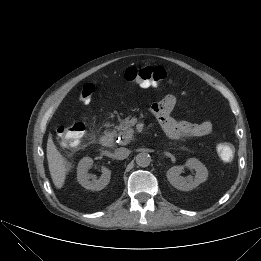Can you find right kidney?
Masks as SVG:
<instances>
[{"mask_svg":"<svg viewBox=\"0 0 261 261\" xmlns=\"http://www.w3.org/2000/svg\"><path fill=\"white\" fill-rule=\"evenodd\" d=\"M92 166L93 160L91 158H82L77 167V180L85 189L100 191L109 184L111 171L106 167H101L102 175L100 178L90 180L91 177L88 175V170Z\"/></svg>","mask_w":261,"mask_h":261,"instance_id":"obj_1","label":"right kidney"}]
</instances>
